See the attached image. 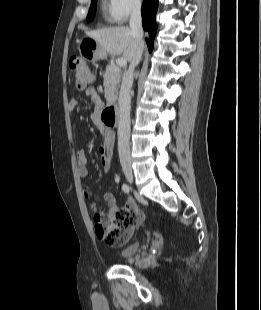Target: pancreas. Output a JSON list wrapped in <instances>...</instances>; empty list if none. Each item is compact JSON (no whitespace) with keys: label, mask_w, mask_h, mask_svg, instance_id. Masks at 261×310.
Wrapping results in <instances>:
<instances>
[{"label":"pancreas","mask_w":261,"mask_h":310,"mask_svg":"<svg viewBox=\"0 0 261 310\" xmlns=\"http://www.w3.org/2000/svg\"><path fill=\"white\" fill-rule=\"evenodd\" d=\"M103 78L106 101L108 103H114L118 95V87L121 79L120 72L117 68L108 65L106 66Z\"/></svg>","instance_id":"pancreas-1"}]
</instances>
